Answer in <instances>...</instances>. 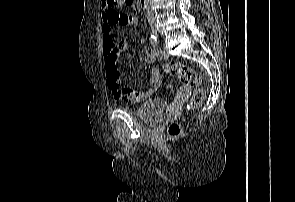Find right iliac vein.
<instances>
[{
  "label": "right iliac vein",
  "instance_id": "right-iliac-vein-1",
  "mask_svg": "<svg viewBox=\"0 0 295 202\" xmlns=\"http://www.w3.org/2000/svg\"><path fill=\"white\" fill-rule=\"evenodd\" d=\"M151 28H152V31H153L154 33H157L158 28H157V26H156L155 23H152V24H151Z\"/></svg>",
  "mask_w": 295,
  "mask_h": 202
}]
</instances>
